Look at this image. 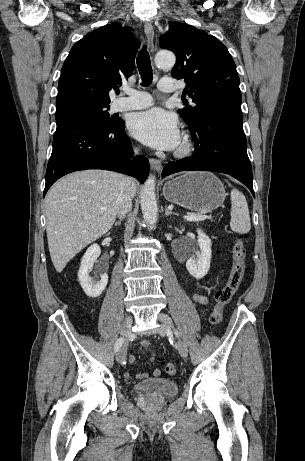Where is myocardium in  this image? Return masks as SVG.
<instances>
[{"instance_id":"f54148a6","label":"myocardium","mask_w":305,"mask_h":461,"mask_svg":"<svg viewBox=\"0 0 305 461\" xmlns=\"http://www.w3.org/2000/svg\"><path fill=\"white\" fill-rule=\"evenodd\" d=\"M193 145L190 140L184 139L180 146L177 148L175 155L178 157H184L191 153Z\"/></svg>"}]
</instances>
